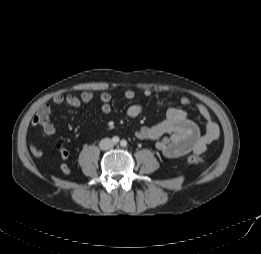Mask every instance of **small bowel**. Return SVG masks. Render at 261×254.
<instances>
[{
  "label": "small bowel",
  "instance_id": "1",
  "mask_svg": "<svg viewBox=\"0 0 261 254\" xmlns=\"http://www.w3.org/2000/svg\"><path fill=\"white\" fill-rule=\"evenodd\" d=\"M151 95L150 90L143 92L145 98H149ZM124 96L127 100H132L136 94L133 90L128 89L125 91ZM93 99L94 94L89 91L83 92L79 96L57 95L50 103L44 104L38 109L32 119V125L34 127H41L47 135H53L56 129L50 120L52 106L64 104L71 107H79L91 102ZM111 99L112 97L108 92H102L99 95L101 111L105 116L111 114ZM180 102L183 106L191 108L204 120V134H201L199 127L190 119L187 111L176 107H169L167 109L166 118L160 123L142 127L136 132L138 139L156 142L157 150L168 158L182 157L189 153L196 155L202 154L206 151L208 145L217 140L220 135L219 125L212 118L206 107L193 103L188 98H181ZM142 112L143 106L141 104H132L127 109V115L130 118H136ZM30 151L36 157L42 155V150L33 143L30 145ZM58 151L63 161L69 158L70 154L66 148L58 146ZM61 168L63 173H70V169L66 165H62Z\"/></svg>",
  "mask_w": 261,
  "mask_h": 254
}]
</instances>
